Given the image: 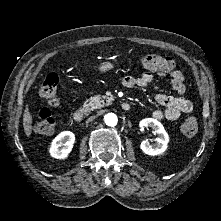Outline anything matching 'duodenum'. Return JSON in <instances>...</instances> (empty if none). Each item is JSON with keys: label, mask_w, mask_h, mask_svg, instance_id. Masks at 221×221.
I'll list each match as a JSON object with an SVG mask.
<instances>
[{"label": "duodenum", "mask_w": 221, "mask_h": 221, "mask_svg": "<svg viewBox=\"0 0 221 221\" xmlns=\"http://www.w3.org/2000/svg\"><path fill=\"white\" fill-rule=\"evenodd\" d=\"M121 107L123 110L125 111H128L130 110V104L127 103V102H124L121 104ZM84 116H85V110L84 109H77L75 110L73 113H72V119L75 121V122H81L83 121L84 119Z\"/></svg>", "instance_id": "obj_1"}]
</instances>
